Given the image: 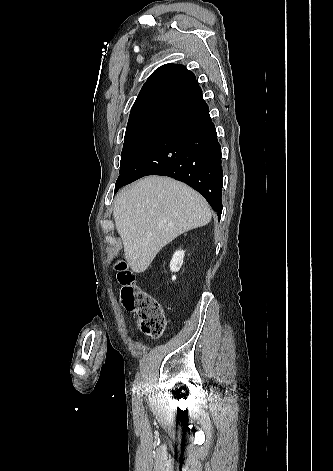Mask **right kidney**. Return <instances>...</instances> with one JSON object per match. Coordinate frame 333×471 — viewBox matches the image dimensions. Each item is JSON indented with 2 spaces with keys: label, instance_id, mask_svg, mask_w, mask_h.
<instances>
[{
  "label": "right kidney",
  "instance_id": "right-kidney-1",
  "mask_svg": "<svg viewBox=\"0 0 333 471\" xmlns=\"http://www.w3.org/2000/svg\"><path fill=\"white\" fill-rule=\"evenodd\" d=\"M183 258H184V251L183 250H177L172 257V260L170 262V270L172 272H178L183 264ZM176 276H172V280H175Z\"/></svg>",
  "mask_w": 333,
  "mask_h": 471
}]
</instances>
